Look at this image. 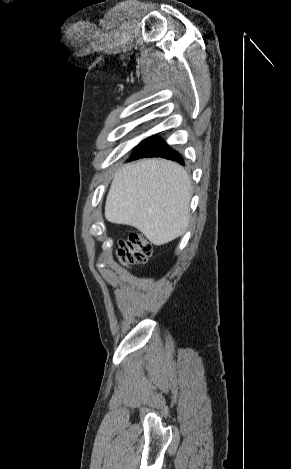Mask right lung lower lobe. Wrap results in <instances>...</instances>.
Listing matches in <instances>:
<instances>
[{
  "mask_svg": "<svg viewBox=\"0 0 291 469\" xmlns=\"http://www.w3.org/2000/svg\"><path fill=\"white\" fill-rule=\"evenodd\" d=\"M163 157L184 164L183 157L170 148L164 141L158 137L152 136L142 141L136 148L131 159H138L142 157Z\"/></svg>",
  "mask_w": 291,
  "mask_h": 469,
  "instance_id": "1",
  "label": "right lung lower lobe"
}]
</instances>
